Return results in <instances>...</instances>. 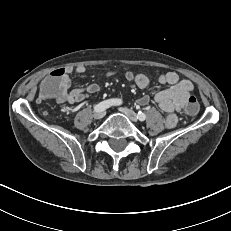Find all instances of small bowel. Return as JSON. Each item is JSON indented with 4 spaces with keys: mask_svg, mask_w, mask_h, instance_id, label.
Segmentation results:
<instances>
[{
    "mask_svg": "<svg viewBox=\"0 0 231 231\" xmlns=\"http://www.w3.org/2000/svg\"><path fill=\"white\" fill-rule=\"evenodd\" d=\"M60 69L63 70L64 77L58 85L61 96L55 99L56 101L70 104L79 103L100 92V86L96 83L70 89L71 75L84 74L87 71L85 66H66ZM126 77L128 80H133L136 86L141 89L147 88L151 83L150 78L142 73L133 74L129 72ZM157 81L162 85H168V87L158 91L154 95V101L163 112L167 113L164 119L166 127L174 128L178 124L177 113L183 112L185 99L192 95L194 85L190 80L180 79L179 75L173 71L160 74ZM137 102L139 105H147L150 102V97L145 95L139 98Z\"/></svg>",
    "mask_w": 231,
    "mask_h": 231,
    "instance_id": "small-bowel-1",
    "label": "small bowel"
}]
</instances>
